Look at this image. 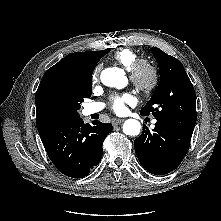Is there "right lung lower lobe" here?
Returning <instances> with one entry per match:
<instances>
[{"instance_id":"1","label":"right lung lower lobe","mask_w":221,"mask_h":221,"mask_svg":"<svg viewBox=\"0 0 221 221\" xmlns=\"http://www.w3.org/2000/svg\"><path fill=\"white\" fill-rule=\"evenodd\" d=\"M112 129L111 123L94 121L90 126L79 117L40 137L50 160L61 173L82 178L99 164L103 142Z\"/></svg>"}]
</instances>
